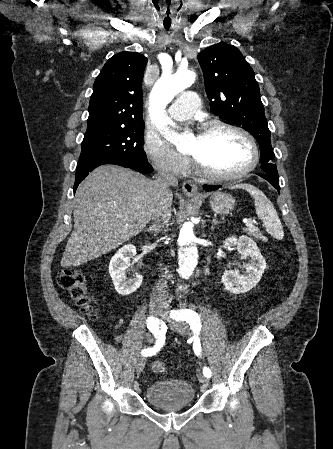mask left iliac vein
<instances>
[{
    "mask_svg": "<svg viewBox=\"0 0 333 449\" xmlns=\"http://www.w3.org/2000/svg\"><path fill=\"white\" fill-rule=\"evenodd\" d=\"M162 319L168 324V326L180 335H187L189 333L188 327L184 323H179L171 319L169 316L168 308H165L161 313ZM197 377L203 387H207L209 384L208 379L200 371L197 373Z\"/></svg>",
    "mask_w": 333,
    "mask_h": 449,
    "instance_id": "obj_1",
    "label": "left iliac vein"
}]
</instances>
